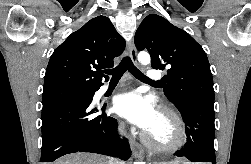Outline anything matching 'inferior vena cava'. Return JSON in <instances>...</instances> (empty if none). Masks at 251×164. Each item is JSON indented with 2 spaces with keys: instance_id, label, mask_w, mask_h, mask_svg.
<instances>
[{
  "instance_id": "1",
  "label": "inferior vena cava",
  "mask_w": 251,
  "mask_h": 164,
  "mask_svg": "<svg viewBox=\"0 0 251 164\" xmlns=\"http://www.w3.org/2000/svg\"><path fill=\"white\" fill-rule=\"evenodd\" d=\"M120 133H123V127H120ZM111 164H118L117 161H112Z\"/></svg>"
}]
</instances>
